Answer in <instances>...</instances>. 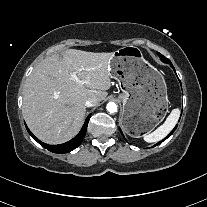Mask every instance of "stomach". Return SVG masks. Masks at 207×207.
I'll return each instance as SVG.
<instances>
[{
  "mask_svg": "<svg viewBox=\"0 0 207 207\" xmlns=\"http://www.w3.org/2000/svg\"><path fill=\"white\" fill-rule=\"evenodd\" d=\"M112 76L121 85L120 94L125 111L126 124L135 121L143 132L148 124L156 123L162 117L157 113L166 108V84L163 75L150 65L140 50L123 47L109 56ZM149 113L155 115L149 116Z\"/></svg>",
  "mask_w": 207,
  "mask_h": 207,
  "instance_id": "0dacf381",
  "label": "stomach"
}]
</instances>
